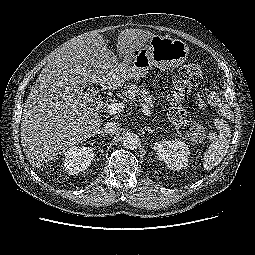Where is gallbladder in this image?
Here are the masks:
<instances>
[{
	"label": "gallbladder",
	"instance_id": "bac80fb5",
	"mask_svg": "<svg viewBox=\"0 0 255 255\" xmlns=\"http://www.w3.org/2000/svg\"><path fill=\"white\" fill-rule=\"evenodd\" d=\"M80 84L79 89L82 91V93L90 99V101H95L97 97V92L94 89L91 82H84L83 79H79Z\"/></svg>",
	"mask_w": 255,
	"mask_h": 255
}]
</instances>
